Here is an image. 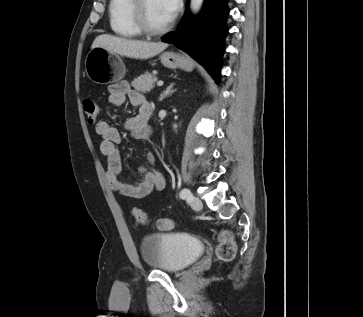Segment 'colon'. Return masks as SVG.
I'll use <instances>...</instances> for the list:
<instances>
[{
	"label": "colon",
	"mask_w": 363,
	"mask_h": 317,
	"mask_svg": "<svg viewBox=\"0 0 363 317\" xmlns=\"http://www.w3.org/2000/svg\"><path fill=\"white\" fill-rule=\"evenodd\" d=\"M83 110L90 124L97 121L99 110L95 101L91 99L84 100ZM132 215L140 224H147L149 222L147 214L138 208L132 210ZM155 225L159 230L169 231L174 227L175 223L170 218H162L157 220ZM235 255L236 244L233 240V236L231 232L224 230L218 236L216 256L222 262H229L234 259Z\"/></svg>",
	"instance_id": "colon-1"
}]
</instances>
